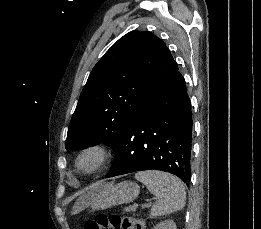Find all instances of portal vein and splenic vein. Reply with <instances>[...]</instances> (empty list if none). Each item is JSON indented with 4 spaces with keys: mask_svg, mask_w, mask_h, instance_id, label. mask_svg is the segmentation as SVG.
Segmentation results:
<instances>
[{
    "mask_svg": "<svg viewBox=\"0 0 261 229\" xmlns=\"http://www.w3.org/2000/svg\"><path fill=\"white\" fill-rule=\"evenodd\" d=\"M133 207L134 208H140L141 204L140 203H134ZM145 207H151V203H146V205H142V209H145Z\"/></svg>",
    "mask_w": 261,
    "mask_h": 229,
    "instance_id": "obj_1",
    "label": "portal vein and splenic vein"
}]
</instances>
